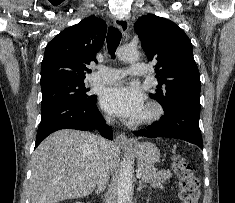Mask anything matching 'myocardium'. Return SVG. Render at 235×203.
Here are the masks:
<instances>
[{
    "instance_id": "1",
    "label": "myocardium",
    "mask_w": 235,
    "mask_h": 203,
    "mask_svg": "<svg viewBox=\"0 0 235 203\" xmlns=\"http://www.w3.org/2000/svg\"><path fill=\"white\" fill-rule=\"evenodd\" d=\"M163 110L157 103H149L138 120L139 125H151L162 116Z\"/></svg>"
}]
</instances>
